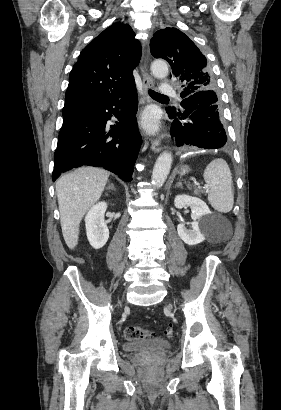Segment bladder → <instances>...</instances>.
<instances>
[{
  "instance_id": "bladder-1",
  "label": "bladder",
  "mask_w": 281,
  "mask_h": 410,
  "mask_svg": "<svg viewBox=\"0 0 281 410\" xmlns=\"http://www.w3.org/2000/svg\"><path fill=\"white\" fill-rule=\"evenodd\" d=\"M170 348L171 343L162 339H139L124 344V350L132 353H158Z\"/></svg>"
}]
</instances>
